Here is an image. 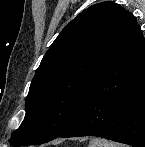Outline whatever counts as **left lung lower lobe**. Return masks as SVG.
Instances as JSON below:
<instances>
[{
  "instance_id": "obj_1",
  "label": "left lung lower lobe",
  "mask_w": 145,
  "mask_h": 147,
  "mask_svg": "<svg viewBox=\"0 0 145 147\" xmlns=\"http://www.w3.org/2000/svg\"><path fill=\"white\" fill-rule=\"evenodd\" d=\"M91 135L144 147L145 40L131 13L75 121L58 137Z\"/></svg>"
}]
</instances>
